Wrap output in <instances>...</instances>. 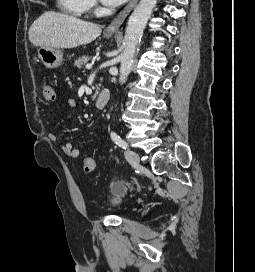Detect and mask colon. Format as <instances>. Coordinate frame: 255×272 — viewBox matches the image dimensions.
<instances>
[{"label": "colon", "instance_id": "1", "mask_svg": "<svg viewBox=\"0 0 255 272\" xmlns=\"http://www.w3.org/2000/svg\"><path fill=\"white\" fill-rule=\"evenodd\" d=\"M42 95L47 101L55 100V91L51 83L44 82L42 85ZM83 169L85 173L91 174L95 169V162L92 156H85L83 159ZM118 192L122 191L121 184H117Z\"/></svg>", "mask_w": 255, "mask_h": 272}]
</instances>
